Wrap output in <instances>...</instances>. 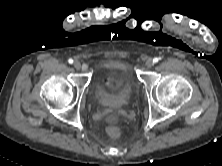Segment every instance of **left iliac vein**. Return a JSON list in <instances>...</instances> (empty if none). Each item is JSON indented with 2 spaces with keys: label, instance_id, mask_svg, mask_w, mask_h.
<instances>
[{
  "label": "left iliac vein",
  "instance_id": "1",
  "mask_svg": "<svg viewBox=\"0 0 222 166\" xmlns=\"http://www.w3.org/2000/svg\"><path fill=\"white\" fill-rule=\"evenodd\" d=\"M145 64H146V67L151 68L153 66L154 62L151 58H149Z\"/></svg>",
  "mask_w": 222,
  "mask_h": 166
}]
</instances>
